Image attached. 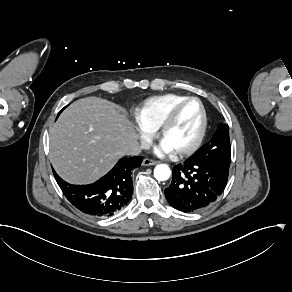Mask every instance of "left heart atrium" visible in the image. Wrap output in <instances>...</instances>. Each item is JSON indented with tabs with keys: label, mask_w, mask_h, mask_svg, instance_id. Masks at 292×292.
Returning a JSON list of instances; mask_svg holds the SVG:
<instances>
[{
	"label": "left heart atrium",
	"mask_w": 292,
	"mask_h": 292,
	"mask_svg": "<svg viewBox=\"0 0 292 292\" xmlns=\"http://www.w3.org/2000/svg\"><path fill=\"white\" fill-rule=\"evenodd\" d=\"M173 149V147H171L170 145H168L166 142L160 146L158 149H157V152L161 155L171 151Z\"/></svg>",
	"instance_id": "left-heart-atrium-1"
}]
</instances>
